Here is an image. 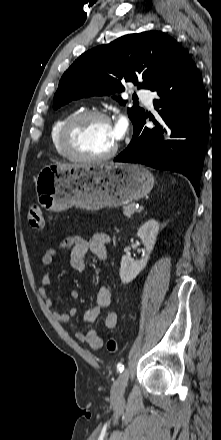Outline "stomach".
Returning <instances> with one entry per match:
<instances>
[{
	"label": "stomach",
	"instance_id": "1",
	"mask_svg": "<svg viewBox=\"0 0 221 440\" xmlns=\"http://www.w3.org/2000/svg\"><path fill=\"white\" fill-rule=\"evenodd\" d=\"M35 184L38 203L49 211L60 212L72 206L96 211L143 198L153 188L154 177L137 164L72 168L49 165L41 169Z\"/></svg>",
	"mask_w": 221,
	"mask_h": 440
}]
</instances>
